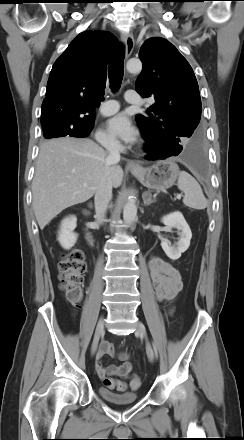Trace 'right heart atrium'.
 <instances>
[{"label": "right heart atrium", "mask_w": 244, "mask_h": 440, "mask_svg": "<svg viewBox=\"0 0 244 440\" xmlns=\"http://www.w3.org/2000/svg\"><path fill=\"white\" fill-rule=\"evenodd\" d=\"M96 139L104 147H116L119 145L118 141L104 130H99L96 133Z\"/></svg>", "instance_id": "obj_1"}]
</instances>
